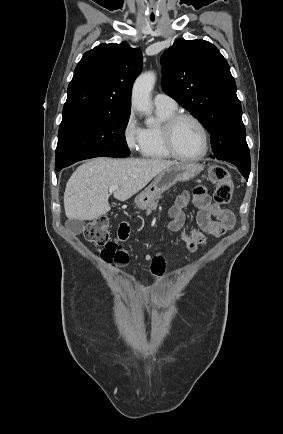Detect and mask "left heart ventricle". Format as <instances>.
Masks as SVG:
<instances>
[{"label":"left heart ventricle","instance_id":"obj_1","mask_svg":"<svg viewBox=\"0 0 283 434\" xmlns=\"http://www.w3.org/2000/svg\"><path fill=\"white\" fill-rule=\"evenodd\" d=\"M174 145L183 155H196L202 149V136L199 128L189 119L177 123L173 134Z\"/></svg>","mask_w":283,"mask_h":434}]
</instances>
